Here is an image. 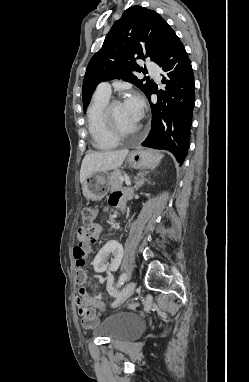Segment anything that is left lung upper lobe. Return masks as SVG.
Segmentation results:
<instances>
[{
  "label": "left lung upper lobe",
  "instance_id": "5c2ea615",
  "mask_svg": "<svg viewBox=\"0 0 249 382\" xmlns=\"http://www.w3.org/2000/svg\"><path fill=\"white\" fill-rule=\"evenodd\" d=\"M176 38L175 32L157 12L141 6L125 10L87 66L82 90L84 111L102 81L122 78L149 94L153 81L143 83L145 79H137L133 72H143L144 68L136 60L150 57L158 64L167 56Z\"/></svg>",
  "mask_w": 249,
  "mask_h": 382
}]
</instances>
